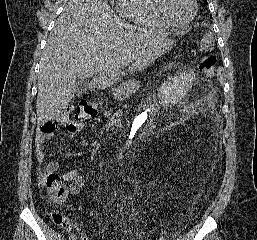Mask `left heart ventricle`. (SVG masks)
I'll return each mask as SVG.
<instances>
[{
    "instance_id": "b2bd125f",
    "label": "left heart ventricle",
    "mask_w": 257,
    "mask_h": 240,
    "mask_svg": "<svg viewBox=\"0 0 257 240\" xmlns=\"http://www.w3.org/2000/svg\"><path fill=\"white\" fill-rule=\"evenodd\" d=\"M162 8L167 18L175 23L186 21L192 11L190 0H162Z\"/></svg>"
}]
</instances>
